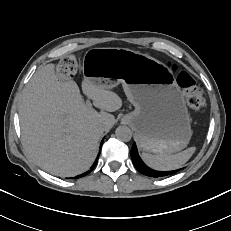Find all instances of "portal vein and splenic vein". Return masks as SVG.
I'll list each match as a JSON object with an SVG mask.
<instances>
[{
  "label": "portal vein and splenic vein",
  "instance_id": "obj_1",
  "mask_svg": "<svg viewBox=\"0 0 231 231\" xmlns=\"http://www.w3.org/2000/svg\"><path fill=\"white\" fill-rule=\"evenodd\" d=\"M86 105H87L88 107H91V106H92V103H91L89 100H87V101H86Z\"/></svg>",
  "mask_w": 231,
  "mask_h": 231
}]
</instances>
